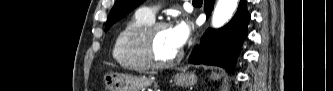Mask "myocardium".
<instances>
[{
  "instance_id": "1",
  "label": "myocardium",
  "mask_w": 333,
  "mask_h": 91,
  "mask_svg": "<svg viewBox=\"0 0 333 91\" xmlns=\"http://www.w3.org/2000/svg\"><path fill=\"white\" fill-rule=\"evenodd\" d=\"M161 28H169V24L163 21L152 22L141 28L134 38L136 52L142 62L149 68L161 69L171 67L178 63L183 55V52L180 50L175 57L168 61L156 59L153 52V36Z\"/></svg>"
}]
</instances>
